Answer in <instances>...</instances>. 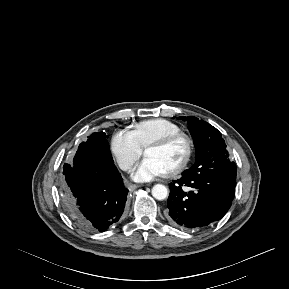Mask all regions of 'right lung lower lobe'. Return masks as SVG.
Listing matches in <instances>:
<instances>
[{
	"instance_id": "1",
	"label": "right lung lower lobe",
	"mask_w": 289,
	"mask_h": 289,
	"mask_svg": "<svg viewBox=\"0 0 289 289\" xmlns=\"http://www.w3.org/2000/svg\"><path fill=\"white\" fill-rule=\"evenodd\" d=\"M63 174L67 208L82 228L104 232L120 219L128 189L114 163L85 155Z\"/></svg>"
}]
</instances>
